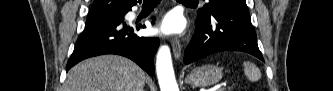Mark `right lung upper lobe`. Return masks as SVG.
Instances as JSON below:
<instances>
[{"label":"right lung upper lobe","mask_w":333,"mask_h":91,"mask_svg":"<svg viewBox=\"0 0 333 91\" xmlns=\"http://www.w3.org/2000/svg\"><path fill=\"white\" fill-rule=\"evenodd\" d=\"M141 0H94L90 17L125 13Z\"/></svg>","instance_id":"cb5924a9"}]
</instances>
